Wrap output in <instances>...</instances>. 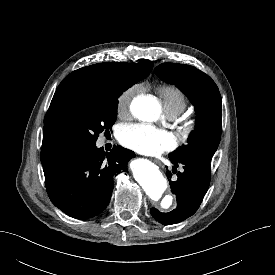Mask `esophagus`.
I'll use <instances>...</instances> for the list:
<instances>
[{"instance_id": "1", "label": "esophagus", "mask_w": 275, "mask_h": 275, "mask_svg": "<svg viewBox=\"0 0 275 275\" xmlns=\"http://www.w3.org/2000/svg\"><path fill=\"white\" fill-rule=\"evenodd\" d=\"M154 162H155L156 164H158L159 166H162V163H161L159 160H154Z\"/></svg>"}]
</instances>
